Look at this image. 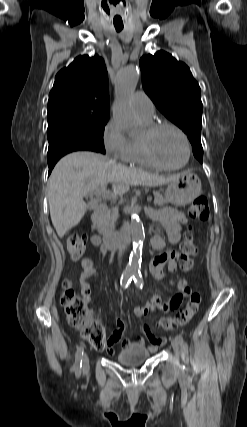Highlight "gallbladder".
Returning a JSON list of instances; mask_svg holds the SVG:
<instances>
[{
    "label": "gallbladder",
    "instance_id": "obj_1",
    "mask_svg": "<svg viewBox=\"0 0 247 427\" xmlns=\"http://www.w3.org/2000/svg\"><path fill=\"white\" fill-rule=\"evenodd\" d=\"M88 207H89L90 209H92V208H93V206H92V204H91V203H89V204H88Z\"/></svg>",
    "mask_w": 247,
    "mask_h": 427
}]
</instances>
